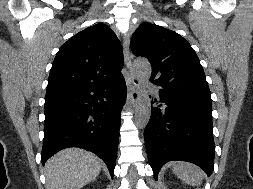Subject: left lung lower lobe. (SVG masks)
Wrapping results in <instances>:
<instances>
[{
    "instance_id": "1",
    "label": "left lung lower lobe",
    "mask_w": 253,
    "mask_h": 189,
    "mask_svg": "<svg viewBox=\"0 0 253 189\" xmlns=\"http://www.w3.org/2000/svg\"><path fill=\"white\" fill-rule=\"evenodd\" d=\"M159 96L161 104L152 107L144 132L155 179L161 167L172 160L195 163L210 176L215 152L212 107L161 89Z\"/></svg>"
}]
</instances>
